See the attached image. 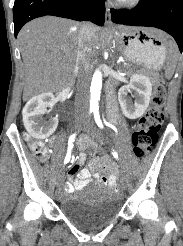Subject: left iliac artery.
<instances>
[{"instance_id":"1","label":"left iliac artery","mask_w":183,"mask_h":246,"mask_svg":"<svg viewBox=\"0 0 183 246\" xmlns=\"http://www.w3.org/2000/svg\"><path fill=\"white\" fill-rule=\"evenodd\" d=\"M94 118H95V122L98 125V127L103 129L104 127H103L102 121L100 119V115H99L98 109L94 110ZM112 155L114 156V158L119 160L118 154H117V152L115 150H113Z\"/></svg>"}]
</instances>
